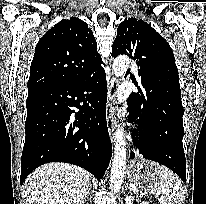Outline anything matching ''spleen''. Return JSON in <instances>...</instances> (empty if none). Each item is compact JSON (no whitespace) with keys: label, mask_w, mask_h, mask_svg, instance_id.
<instances>
[{"label":"spleen","mask_w":206,"mask_h":204,"mask_svg":"<svg viewBox=\"0 0 206 204\" xmlns=\"http://www.w3.org/2000/svg\"><path fill=\"white\" fill-rule=\"evenodd\" d=\"M161 182L159 188L151 192L160 204H182L183 188L180 179L168 168L160 166Z\"/></svg>","instance_id":"spleen-1"}]
</instances>
